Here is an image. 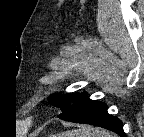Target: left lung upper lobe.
Wrapping results in <instances>:
<instances>
[{"label": "left lung upper lobe", "instance_id": "obj_1", "mask_svg": "<svg viewBox=\"0 0 144 137\" xmlns=\"http://www.w3.org/2000/svg\"><path fill=\"white\" fill-rule=\"evenodd\" d=\"M80 95L76 96V94H65L63 96H60L59 94H54L49 97L48 100L51 104L56 105L60 107L61 110H63L71 105V103L75 101V99L78 98Z\"/></svg>", "mask_w": 144, "mask_h": 137}]
</instances>
